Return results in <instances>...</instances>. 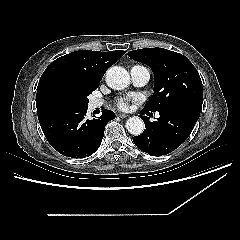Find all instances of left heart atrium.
Here are the masks:
<instances>
[{"label":"left heart atrium","instance_id":"obj_1","mask_svg":"<svg viewBox=\"0 0 240 240\" xmlns=\"http://www.w3.org/2000/svg\"><path fill=\"white\" fill-rule=\"evenodd\" d=\"M116 104L121 110H125L128 108L129 99L128 98H119V99H117Z\"/></svg>","mask_w":240,"mask_h":240}]
</instances>
